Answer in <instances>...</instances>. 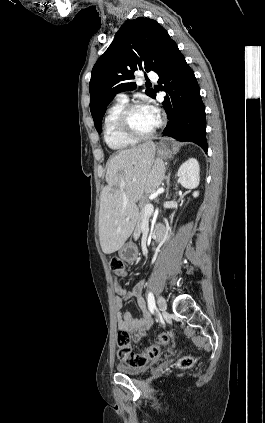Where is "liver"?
Here are the masks:
<instances>
[{
  "label": "liver",
  "instance_id": "6515ba94",
  "mask_svg": "<svg viewBox=\"0 0 265 423\" xmlns=\"http://www.w3.org/2000/svg\"><path fill=\"white\" fill-rule=\"evenodd\" d=\"M155 153V144L148 141L119 151L107 162L108 185L99 212V240L105 254L122 248L138 217L136 203L144 193L155 192L165 177L164 162Z\"/></svg>",
  "mask_w": 265,
  "mask_h": 423
}]
</instances>
